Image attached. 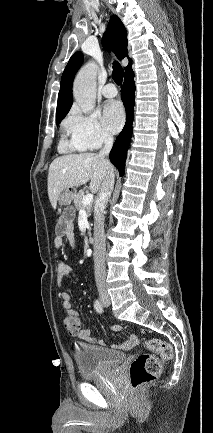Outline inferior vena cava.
Segmentation results:
<instances>
[{"instance_id":"inferior-vena-cava-1","label":"inferior vena cava","mask_w":213,"mask_h":433,"mask_svg":"<svg viewBox=\"0 0 213 433\" xmlns=\"http://www.w3.org/2000/svg\"><path fill=\"white\" fill-rule=\"evenodd\" d=\"M104 147L99 151L98 156L106 160L113 145V136L105 133L103 136ZM114 186V173L110 169L105 176L98 192L94 207V270L97 289L100 293L106 292V269H105V234H104V210L111 196Z\"/></svg>"}]
</instances>
